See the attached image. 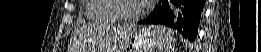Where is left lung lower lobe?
<instances>
[{
	"label": "left lung lower lobe",
	"instance_id": "left-lung-lower-lobe-1",
	"mask_svg": "<svg viewBox=\"0 0 261 52\" xmlns=\"http://www.w3.org/2000/svg\"><path fill=\"white\" fill-rule=\"evenodd\" d=\"M205 0H163L138 24H162L194 41L201 21Z\"/></svg>",
	"mask_w": 261,
	"mask_h": 52
}]
</instances>
